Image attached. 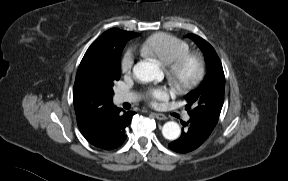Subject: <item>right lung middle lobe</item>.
<instances>
[{
  "label": "right lung middle lobe",
  "mask_w": 288,
  "mask_h": 181,
  "mask_svg": "<svg viewBox=\"0 0 288 181\" xmlns=\"http://www.w3.org/2000/svg\"><path fill=\"white\" fill-rule=\"evenodd\" d=\"M129 39L124 37H117L114 43L105 47L102 62L95 73L96 79L99 83L113 96L114 81L120 78V58L122 50Z\"/></svg>",
  "instance_id": "right-lung-middle-lobe-1"
}]
</instances>
